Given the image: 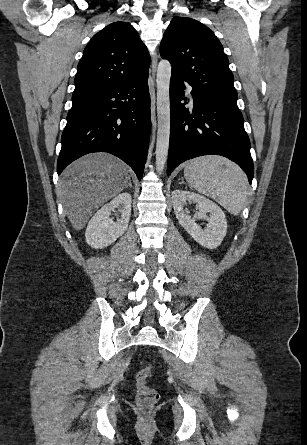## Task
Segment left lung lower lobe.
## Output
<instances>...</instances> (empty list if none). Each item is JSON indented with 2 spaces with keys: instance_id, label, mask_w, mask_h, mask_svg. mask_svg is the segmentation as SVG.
Wrapping results in <instances>:
<instances>
[{
  "instance_id": "left-lung-lower-lobe-1",
  "label": "left lung lower lobe",
  "mask_w": 307,
  "mask_h": 445,
  "mask_svg": "<svg viewBox=\"0 0 307 445\" xmlns=\"http://www.w3.org/2000/svg\"><path fill=\"white\" fill-rule=\"evenodd\" d=\"M184 80L171 74L170 144L167 175L185 160L208 154L236 162L252 182L254 166L250 141L237 103L212 98L192 90L193 110L185 108Z\"/></svg>"
}]
</instances>
